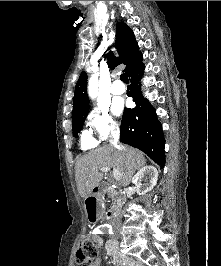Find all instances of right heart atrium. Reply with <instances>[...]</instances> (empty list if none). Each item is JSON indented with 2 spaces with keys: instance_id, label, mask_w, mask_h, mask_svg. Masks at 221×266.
Here are the masks:
<instances>
[{
  "instance_id": "right-heart-atrium-1",
  "label": "right heart atrium",
  "mask_w": 221,
  "mask_h": 266,
  "mask_svg": "<svg viewBox=\"0 0 221 266\" xmlns=\"http://www.w3.org/2000/svg\"><path fill=\"white\" fill-rule=\"evenodd\" d=\"M87 123L96 137L107 140L119 133V126L105 106L93 108L87 116Z\"/></svg>"
}]
</instances>
